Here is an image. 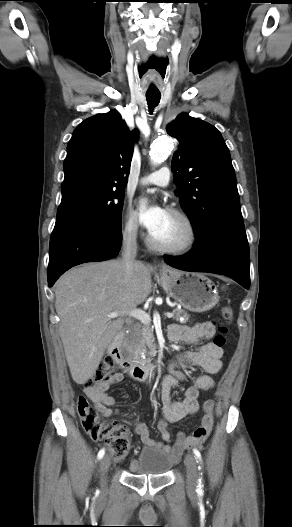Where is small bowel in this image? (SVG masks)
<instances>
[{"mask_svg":"<svg viewBox=\"0 0 292 527\" xmlns=\"http://www.w3.org/2000/svg\"><path fill=\"white\" fill-rule=\"evenodd\" d=\"M214 332V325L211 322H201L193 326L176 324L170 326L169 338L171 341L199 344V346L195 350L185 352L176 359L170 365L169 374L163 379V417L158 421L157 427L165 442L153 440L145 423H134V431L144 445L161 449L173 461H176L185 449L203 443L211 431L214 410V402L212 400H207L201 407L202 415L199 427L189 436L179 433L174 445L170 444L171 436L167 423L178 422L186 416L197 413L200 409L198 402L199 391L210 390L214 386L212 375L217 374L222 368L223 349L212 342H202L211 338ZM184 366H199L205 371V374L196 376L192 380L190 386L184 391L181 401L173 402L170 398V390L185 379L181 370ZM123 378V373L117 372L107 381L85 388L86 396L96 405L102 416L108 417L116 412L112 408L115 404V399L107 393V390L111 385L121 382Z\"/></svg>","mask_w":292,"mask_h":527,"instance_id":"obj_1","label":"small bowel"}]
</instances>
